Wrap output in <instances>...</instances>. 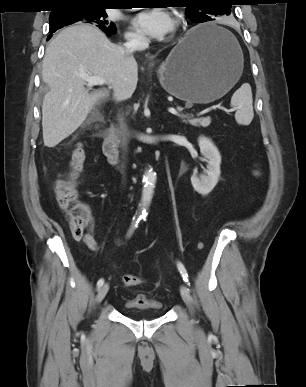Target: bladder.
Here are the masks:
<instances>
[{
	"mask_svg": "<svg viewBox=\"0 0 306 387\" xmlns=\"http://www.w3.org/2000/svg\"><path fill=\"white\" fill-rule=\"evenodd\" d=\"M124 309L130 317H135L140 313H150L154 317H159L164 313V307L160 301L149 298L143 293H139L128 300L124 305Z\"/></svg>",
	"mask_w": 306,
	"mask_h": 387,
	"instance_id": "obj_1",
	"label": "bladder"
}]
</instances>
